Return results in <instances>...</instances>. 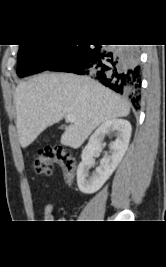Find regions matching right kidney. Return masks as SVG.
I'll return each mask as SVG.
<instances>
[{"label": "right kidney", "instance_id": "1", "mask_svg": "<svg viewBox=\"0 0 166 267\" xmlns=\"http://www.w3.org/2000/svg\"><path fill=\"white\" fill-rule=\"evenodd\" d=\"M131 124L124 119H111L104 122L90 137L88 144L82 151L81 163L77 168V184L82 193L92 194L98 191L112 175L121 162L128 148L131 137ZM116 132V139L110 143L109 154L100 161L95 173L89 176V169L94 165V155L100 152L106 134Z\"/></svg>", "mask_w": 166, "mask_h": 267}]
</instances>
